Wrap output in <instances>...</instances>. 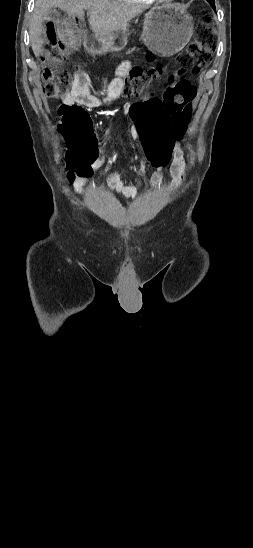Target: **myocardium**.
<instances>
[{
    "instance_id": "f54148a6",
    "label": "myocardium",
    "mask_w": 253,
    "mask_h": 548,
    "mask_svg": "<svg viewBox=\"0 0 253 548\" xmlns=\"http://www.w3.org/2000/svg\"><path fill=\"white\" fill-rule=\"evenodd\" d=\"M155 1H158V2H172L174 0H155Z\"/></svg>"
}]
</instances>
